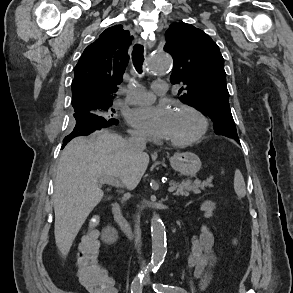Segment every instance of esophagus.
<instances>
[{
  "label": "esophagus",
  "mask_w": 293,
  "mask_h": 293,
  "mask_svg": "<svg viewBox=\"0 0 293 293\" xmlns=\"http://www.w3.org/2000/svg\"><path fill=\"white\" fill-rule=\"evenodd\" d=\"M140 43L143 44L146 48L150 49L154 46V41L152 40H140Z\"/></svg>",
  "instance_id": "1"
}]
</instances>
